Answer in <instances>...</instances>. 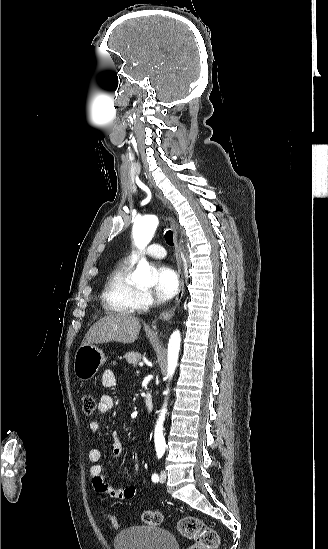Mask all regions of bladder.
Segmentation results:
<instances>
[{
  "label": "bladder",
  "instance_id": "bladder-1",
  "mask_svg": "<svg viewBox=\"0 0 328 549\" xmlns=\"http://www.w3.org/2000/svg\"><path fill=\"white\" fill-rule=\"evenodd\" d=\"M114 538L116 549H176L174 535L152 526H137Z\"/></svg>",
  "mask_w": 328,
  "mask_h": 549
}]
</instances>
